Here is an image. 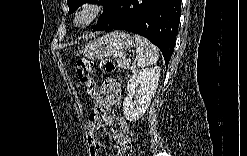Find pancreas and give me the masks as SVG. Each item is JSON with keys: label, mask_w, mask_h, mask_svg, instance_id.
Returning a JSON list of instances; mask_svg holds the SVG:
<instances>
[{"label": "pancreas", "mask_w": 247, "mask_h": 156, "mask_svg": "<svg viewBox=\"0 0 247 156\" xmlns=\"http://www.w3.org/2000/svg\"><path fill=\"white\" fill-rule=\"evenodd\" d=\"M118 65L121 68H127L126 67V63H127V59L123 56L117 59Z\"/></svg>", "instance_id": "cf45deb5"}]
</instances>
